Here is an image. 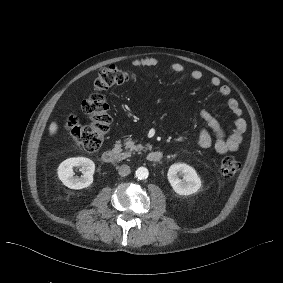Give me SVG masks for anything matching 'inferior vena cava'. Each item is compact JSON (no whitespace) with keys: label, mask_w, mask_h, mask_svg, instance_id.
Here are the masks:
<instances>
[{"label":"inferior vena cava","mask_w":283,"mask_h":283,"mask_svg":"<svg viewBox=\"0 0 283 283\" xmlns=\"http://www.w3.org/2000/svg\"><path fill=\"white\" fill-rule=\"evenodd\" d=\"M131 172L130 167L128 165H121L118 169V173L121 176H127L129 175Z\"/></svg>","instance_id":"inferior-vena-cava-1"}]
</instances>
